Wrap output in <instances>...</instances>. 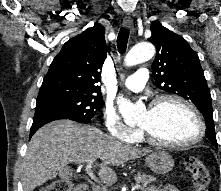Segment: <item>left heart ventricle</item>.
Segmentation results:
<instances>
[{
  "mask_svg": "<svg viewBox=\"0 0 221 191\" xmlns=\"http://www.w3.org/2000/svg\"><path fill=\"white\" fill-rule=\"evenodd\" d=\"M139 127L148 130L156 138L171 143L189 141L198 132L194 116L175 101L164 102L154 110L145 111Z\"/></svg>",
  "mask_w": 221,
  "mask_h": 191,
  "instance_id": "1",
  "label": "left heart ventricle"
}]
</instances>
